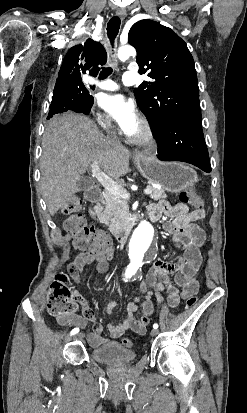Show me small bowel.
<instances>
[{
	"label": "small bowel",
	"instance_id": "small-bowel-1",
	"mask_svg": "<svg viewBox=\"0 0 247 413\" xmlns=\"http://www.w3.org/2000/svg\"><path fill=\"white\" fill-rule=\"evenodd\" d=\"M148 213L149 219L152 222L159 220L163 214L170 218L166 225V230L175 237L184 254L176 260L164 261L158 259L153 263L139 285L138 295L133 302L127 305L123 321L118 324L108 325L110 339L105 340L100 335L102 332L101 327H96L93 332L87 335V341L92 347H100L105 343H109L110 348H115L116 342L114 340L120 338L127 330L137 334H144L149 318L154 313L156 307L152 297L155 296L157 302L160 303L161 292L165 288H167L169 293L167 304L170 308L177 307L180 302L179 287L185 288L183 292L185 299H195L197 297L200 283L198 280L192 279H194L202 262L200 249L205 242V232L195 223L204 217L203 209L190 210L186 203L170 205L167 201L160 200L158 203L149 204ZM109 255L101 252L79 253L67 266L71 279L75 283L80 282L83 272L92 264H95V269L98 273H106L109 268ZM172 274L175 275L174 280L171 279ZM141 294L145 295V298L142 300L140 298ZM73 295L79 300L82 315H60L57 316V322L61 326L69 325L84 328L89 321L94 319V312L82 295L78 292H74ZM139 307L142 310V317L137 319L134 316V312ZM116 308L117 302L108 298L107 314H112Z\"/></svg>",
	"mask_w": 247,
	"mask_h": 413
}]
</instances>
